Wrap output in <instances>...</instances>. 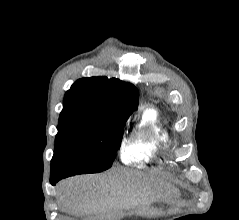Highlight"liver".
Masks as SVG:
<instances>
[{
	"mask_svg": "<svg viewBox=\"0 0 239 220\" xmlns=\"http://www.w3.org/2000/svg\"><path fill=\"white\" fill-rule=\"evenodd\" d=\"M57 192L58 202L66 212L105 215L166 199L176 189L142 172L118 169L108 174L66 179L59 183Z\"/></svg>",
	"mask_w": 239,
	"mask_h": 220,
	"instance_id": "obj_1",
	"label": "liver"
}]
</instances>
